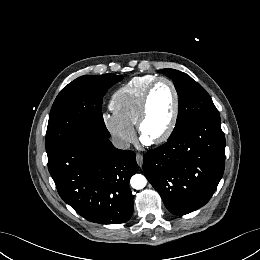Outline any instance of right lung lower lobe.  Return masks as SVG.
<instances>
[{
	"instance_id": "right-lung-lower-lobe-1",
	"label": "right lung lower lobe",
	"mask_w": 260,
	"mask_h": 260,
	"mask_svg": "<svg viewBox=\"0 0 260 260\" xmlns=\"http://www.w3.org/2000/svg\"><path fill=\"white\" fill-rule=\"evenodd\" d=\"M61 198L90 222L120 224L133 213L129 180L138 170L132 151L115 148L108 138L86 134L48 158Z\"/></svg>"
}]
</instances>
